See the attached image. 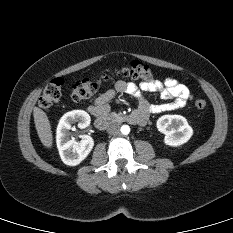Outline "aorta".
<instances>
[{"label":"aorta","mask_w":233,"mask_h":233,"mask_svg":"<svg viewBox=\"0 0 233 233\" xmlns=\"http://www.w3.org/2000/svg\"><path fill=\"white\" fill-rule=\"evenodd\" d=\"M120 131L122 134L127 135L130 132V127L128 125H122Z\"/></svg>","instance_id":"aorta-1"}]
</instances>
